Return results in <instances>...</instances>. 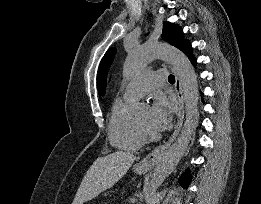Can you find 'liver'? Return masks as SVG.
Returning <instances> with one entry per match:
<instances>
[{"instance_id":"6515ba94","label":"liver","mask_w":261,"mask_h":204,"mask_svg":"<svg viewBox=\"0 0 261 204\" xmlns=\"http://www.w3.org/2000/svg\"><path fill=\"white\" fill-rule=\"evenodd\" d=\"M135 160L133 154L123 151L98 157L85 174L72 204H83L112 187L126 174Z\"/></svg>"}]
</instances>
